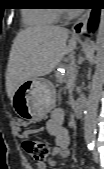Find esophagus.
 <instances>
[{
	"mask_svg": "<svg viewBox=\"0 0 104 169\" xmlns=\"http://www.w3.org/2000/svg\"><path fill=\"white\" fill-rule=\"evenodd\" d=\"M90 13V10L85 11V13L74 23V25L72 26L73 35H81L85 32L89 21Z\"/></svg>",
	"mask_w": 104,
	"mask_h": 169,
	"instance_id": "1",
	"label": "esophagus"
}]
</instances>
